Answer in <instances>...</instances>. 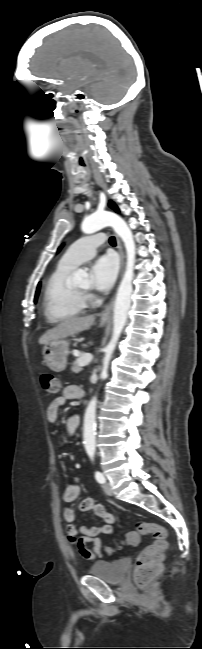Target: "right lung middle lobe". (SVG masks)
Returning <instances> with one entry per match:
<instances>
[{"label":"right lung middle lobe","instance_id":"obj_1","mask_svg":"<svg viewBox=\"0 0 202 649\" xmlns=\"http://www.w3.org/2000/svg\"><path fill=\"white\" fill-rule=\"evenodd\" d=\"M39 289H40V284L37 287V291H36V294H35V301L37 300V296L39 294Z\"/></svg>","mask_w":202,"mask_h":649}]
</instances>
